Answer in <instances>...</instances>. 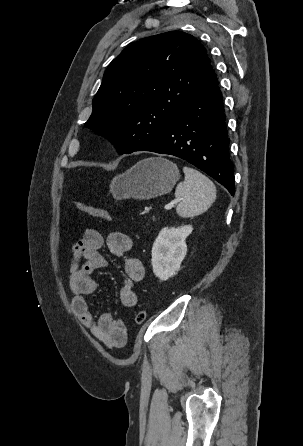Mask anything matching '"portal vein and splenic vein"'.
I'll return each mask as SVG.
<instances>
[{
	"label": "portal vein and splenic vein",
	"instance_id": "obj_1",
	"mask_svg": "<svg viewBox=\"0 0 303 446\" xmlns=\"http://www.w3.org/2000/svg\"><path fill=\"white\" fill-rule=\"evenodd\" d=\"M180 200H177L176 202H179ZM174 207V202L171 204H167L165 205L164 209L165 210H171Z\"/></svg>",
	"mask_w": 303,
	"mask_h": 446
}]
</instances>
